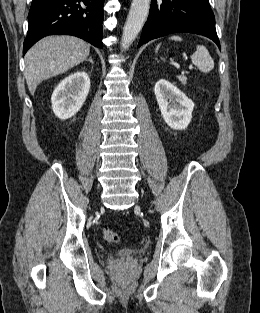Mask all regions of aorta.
I'll list each match as a JSON object with an SVG mask.
<instances>
[{
	"label": "aorta",
	"mask_w": 260,
	"mask_h": 313,
	"mask_svg": "<svg viewBox=\"0 0 260 313\" xmlns=\"http://www.w3.org/2000/svg\"><path fill=\"white\" fill-rule=\"evenodd\" d=\"M151 0H133L123 28L121 47L125 51L135 40L147 19Z\"/></svg>",
	"instance_id": "obj_1"
}]
</instances>
